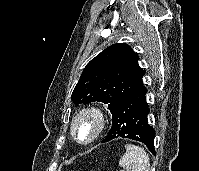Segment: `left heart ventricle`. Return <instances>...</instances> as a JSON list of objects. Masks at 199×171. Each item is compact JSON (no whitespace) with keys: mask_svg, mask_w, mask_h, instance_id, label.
I'll return each instance as SVG.
<instances>
[{"mask_svg":"<svg viewBox=\"0 0 199 171\" xmlns=\"http://www.w3.org/2000/svg\"><path fill=\"white\" fill-rule=\"evenodd\" d=\"M94 130V125L91 119L86 118L81 120L76 127V133L81 140H87L91 137Z\"/></svg>","mask_w":199,"mask_h":171,"instance_id":"obj_1","label":"left heart ventricle"}]
</instances>
